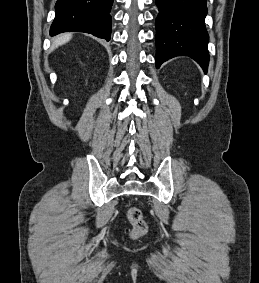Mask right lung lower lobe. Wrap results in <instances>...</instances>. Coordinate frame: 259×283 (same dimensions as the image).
Instances as JSON below:
<instances>
[{
  "instance_id": "obj_1",
  "label": "right lung lower lobe",
  "mask_w": 259,
  "mask_h": 283,
  "mask_svg": "<svg viewBox=\"0 0 259 283\" xmlns=\"http://www.w3.org/2000/svg\"><path fill=\"white\" fill-rule=\"evenodd\" d=\"M113 0H57L50 35L86 32L110 40Z\"/></svg>"
}]
</instances>
